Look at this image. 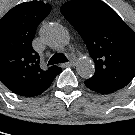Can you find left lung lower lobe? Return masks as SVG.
<instances>
[{
	"mask_svg": "<svg viewBox=\"0 0 135 135\" xmlns=\"http://www.w3.org/2000/svg\"><path fill=\"white\" fill-rule=\"evenodd\" d=\"M85 85L92 91L94 92H97V93H100V94H110V93H113L114 91L112 90H109V89H106V88H103V87H100L98 85H95L89 81H84Z\"/></svg>",
	"mask_w": 135,
	"mask_h": 135,
	"instance_id": "obj_1",
	"label": "left lung lower lobe"
}]
</instances>
